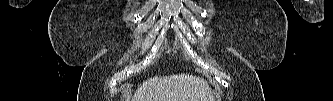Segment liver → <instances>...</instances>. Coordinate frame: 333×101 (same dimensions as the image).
Wrapping results in <instances>:
<instances>
[{"label":"liver","instance_id":"6515ba94","mask_svg":"<svg viewBox=\"0 0 333 101\" xmlns=\"http://www.w3.org/2000/svg\"><path fill=\"white\" fill-rule=\"evenodd\" d=\"M133 101H211L209 87L203 79L193 75L175 74L153 77L144 81Z\"/></svg>","mask_w":333,"mask_h":101}]
</instances>
